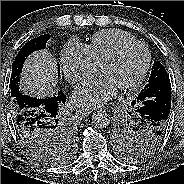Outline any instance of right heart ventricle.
<instances>
[{
  "label": "right heart ventricle",
  "mask_w": 184,
  "mask_h": 184,
  "mask_svg": "<svg viewBox=\"0 0 184 184\" xmlns=\"http://www.w3.org/2000/svg\"><path fill=\"white\" fill-rule=\"evenodd\" d=\"M136 40L132 35L121 30H103L94 34L87 45L94 62L98 64L119 45Z\"/></svg>",
  "instance_id": "e07e8e85"
}]
</instances>
